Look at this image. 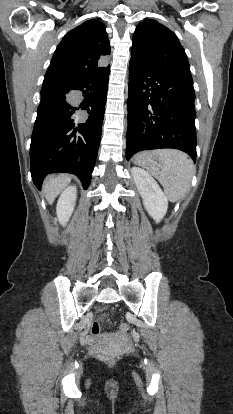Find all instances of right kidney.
I'll list each match as a JSON object with an SVG mask.
<instances>
[{
	"label": "right kidney",
	"mask_w": 233,
	"mask_h": 414,
	"mask_svg": "<svg viewBox=\"0 0 233 414\" xmlns=\"http://www.w3.org/2000/svg\"><path fill=\"white\" fill-rule=\"evenodd\" d=\"M76 192L77 190L75 186H69L62 192L58 199L56 213L59 222L62 225H65L66 222H68L74 210L77 195Z\"/></svg>",
	"instance_id": "obj_1"
}]
</instances>
